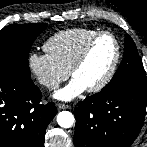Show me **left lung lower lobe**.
Instances as JSON below:
<instances>
[{
  "mask_svg": "<svg viewBox=\"0 0 147 147\" xmlns=\"http://www.w3.org/2000/svg\"><path fill=\"white\" fill-rule=\"evenodd\" d=\"M147 105V88L125 86L100 91L74 110L75 147H130L139 134Z\"/></svg>",
  "mask_w": 147,
  "mask_h": 147,
  "instance_id": "0a47b994",
  "label": "left lung lower lobe"
}]
</instances>
